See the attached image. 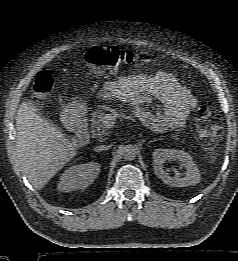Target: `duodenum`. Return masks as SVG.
Returning <instances> with one entry per match:
<instances>
[{"label": "duodenum", "instance_id": "obj_1", "mask_svg": "<svg viewBox=\"0 0 238 261\" xmlns=\"http://www.w3.org/2000/svg\"><path fill=\"white\" fill-rule=\"evenodd\" d=\"M65 121L76 132L74 143L85 145L89 140V120L87 116L82 112H70L66 115Z\"/></svg>", "mask_w": 238, "mask_h": 261}]
</instances>
